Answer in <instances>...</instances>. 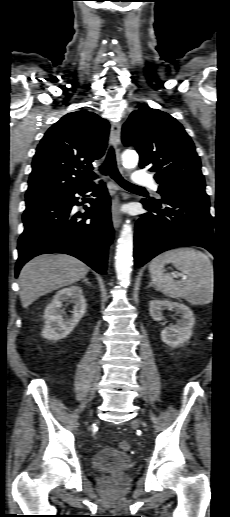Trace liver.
I'll return each mask as SVG.
<instances>
[{
	"label": "liver",
	"instance_id": "obj_1",
	"mask_svg": "<svg viewBox=\"0 0 230 517\" xmlns=\"http://www.w3.org/2000/svg\"><path fill=\"white\" fill-rule=\"evenodd\" d=\"M89 267L67 254H44L27 262L19 274L20 300L29 307L40 296L83 278Z\"/></svg>",
	"mask_w": 230,
	"mask_h": 517
}]
</instances>
